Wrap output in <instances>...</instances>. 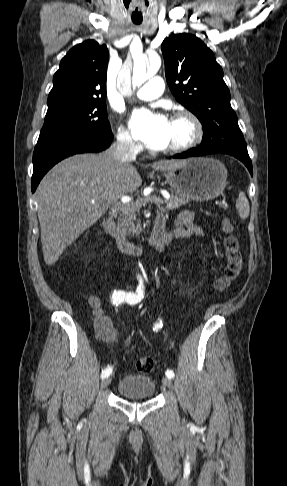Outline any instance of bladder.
<instances>
[{
  "label": "bladder",
  "mask_w": 287,
  "mask_h": 486,
  "mask_svg": "<svg viewBox=\"0 0 287 486\" xmlns=\"http://www.w3.org/2000/svg\"><path fill=\"white\" fill-rule=\"evenodd\" d=\"M116 389L128 398H151L156 392V383L148 375L128 374L119 379Z\"/></svg>",
  "instance_id": "31cf9c89"
}]
</instances>
